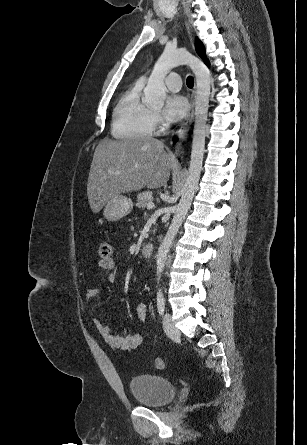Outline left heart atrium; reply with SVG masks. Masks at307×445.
<instances>
[{
  "label": "left heart atrium",
  "instance_id": "39dd6f15",
  "mask_svg": "<svg viewBox=\"0 0 307 445\" xmlns=\"http://www.w3.org/2000/svg\"><path fill=\"white\" fill-rule=\"evenodd\" d=\"M188 111V102L178 92L170 91L164 99V114L171 121L182 119Z\"/></svg>",
  "mask_w": 307,
  "mask_h": 445
}]
</instances>
